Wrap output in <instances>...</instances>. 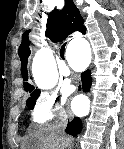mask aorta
<instances>
[{
	"instance_id": "aorta-1",
	"label": "aorta",
	"mask_w": 124,
	"mask_h": 149,
	"mask_svg": "<svg viewBox=\"0 0 124 149\" xmlns=\"http://www.w3.org/2000/svg\"><path fill=\"white\" fill-rule=\"evenodd\" d=\"M73 44L77 45V53L85 57L90 56L89 44L85 39H79ZM33 71L35 83L39 88L50 89L56 84L57 72L49 54L43 52L38 55L34 63Z\"/></svg>"
}]
</instances>
